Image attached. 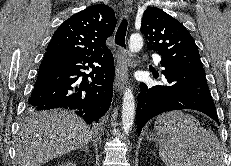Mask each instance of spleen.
<instances>
[{"label":"spleen","instance_id":"obj_1","mask_svg":"<svg viewBox=\"0 0 231 166\" xmlns=\"http://www.w3.org/2000/svg\"><path fill=\"white\" fill-rule=\"evenodd\" d=\"M159 155L167 166H225L224 151L216 135L200 126L192 115L169 111L155 121Z\"/></svg>","mask_w":231,"mask_h":166}]
</instances>
